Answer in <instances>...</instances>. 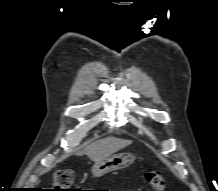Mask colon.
<instances>
[{"instance_id":"5ec220e1","label":"colon","mask_w":218,"mask_h":191,"mask_svg":"<svg viewBox=\"0 0 218 191\" xmlns=\"http://www.w3.org/2000/svg\"><path fill=\"white\" fill-rule=\"evenodd\" d=\"M146 183L155 191H163L165 179L162 172L158 170L149 171L144 176ZM74 182V172L72 170H60L54 175V191H77L71 190L70 186Z\"/></svg>"}]
</instances>
